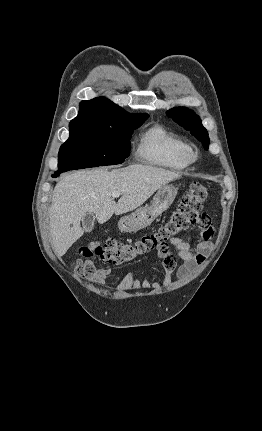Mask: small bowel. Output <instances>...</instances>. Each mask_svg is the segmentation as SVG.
<instances>
[{
    "mask_svg": "<svg viewBox=\"0 0 262 431\" xmlns=\"http://www.w3.org/2000/svg\"><path fill=\"white\" fill-rule=\"evenodd\" d=\"M201 242L193 248L187 237H174L170 239V244L173 245L177 254L161 255L162 263L165 269V275L161 282H151L148 278H137L134 274L128 273L118 277V284L122 291L132 289L152 290L167 288L174 283V274L176 273L181 280L187 279L194 273L198 266L206 259V253L212 245V237L214 234L209 217L205 214L204 219L198 222ZM92 270L86 272L84 277L96 284H104L108 277L114 275L111 268H98L93 262H90Z\"/></svg>",
    "mask_w": 262,
    "mask_h": 431,
    "instance_id": "1",
    "label": "small bowel"
}]
</instances>
